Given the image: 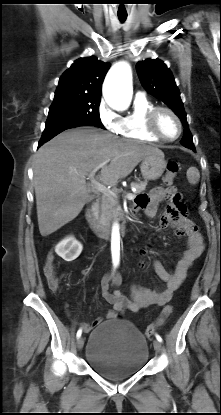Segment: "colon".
Returning a JSON list of instances; mask_svg holds the SVG:
<instances>
[{
  "instance_id": "5ec220e1",
  "label": "colon",
  "mask_w": 221,
  "mask_h": 415,
  "mask_svg": "<svg viewBox=\"0 0 221 415\" xmlns=\"http://www.w3.org/2000/svg\"><path fill=\"white\" fill-rule=\"evenodd\" d=\"M178 171H179V164L177 162L170 161L167 163L166 172L163 177V181L167 186L172 185ZM53 260H54V255L52 252H50L47 256L44 272H45V276L47 278L49 287L52 290H56L59 285V278L55 273ZM172 312H173L172 306L170 305L165 306L161 312V315L157 319V321L147 327L145 334L147 336H151L158 328L164 325L166 319L171 315Z\"/></svg>"
}]
</instances>
